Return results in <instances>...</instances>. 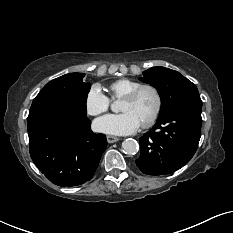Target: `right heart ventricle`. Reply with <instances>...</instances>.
I'll use <instances>...</instances> for the list:
<instances>
[{
    "label": "right heart ventricle",
    "instance_id": "right-heart-ventricle-1",
    "mask_svg": "<svg viewBox=\"0 0 233 233\" xmlns=\"http://www.w3.org/2000/svg\"><path fill=\"white\" fill-rule=\"evenodd\" d=\"M140 85L138 81L122 78L112 82L108 89L113 99H120Z\"/></svg>",
    "mask_w": 233,
    "mask_h": 233
}]
</instances>
